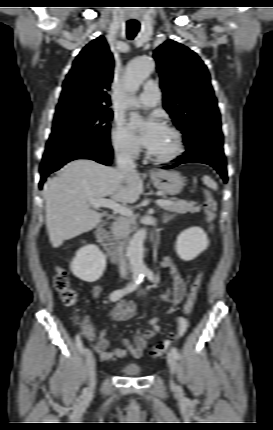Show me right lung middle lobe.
Listing matches in <instances>:
<instances>
[{
	"label": "right lung middle lobe",
	"instance_id": "obj_1",
	"mask_svg": "<svg viewBox=\"0 0 273 430\" xmlns=\"http://www.w3.org/2000/svg\"><path fill=\"white\" fill-rule=\"evenodd\" d=\"M112 111L80 104L57 108L43 160L84 149L110 148Z\"/></svg>",
	"mask_w": 273,
	"mask_h": 430
}]
</instances>
